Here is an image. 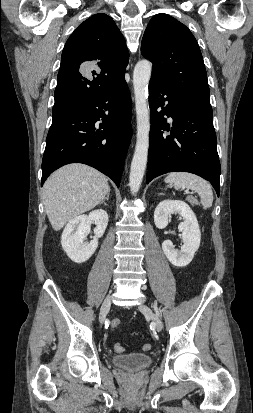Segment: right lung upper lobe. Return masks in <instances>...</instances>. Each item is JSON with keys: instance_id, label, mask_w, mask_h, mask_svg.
I'll use <instances>...</instances> for the list:
<instances>
[{"instance_id": "1", "label": "right lung upper lobe", "mask_w": 253, "mask_h": 413, "mask_svg": "<svg viewBox=\"0 0 253 413\" xmlns=\"http://www.w3.org/2000/svg\"><path fill=\"white\" fill-rule=\"evenodd\" d=\"M128 50L111 17L95 14L68 38L61 56L52 115L72 110L125 79ZM84 62H92V78L83 76Z\"/></svg>"}]
</instances>
